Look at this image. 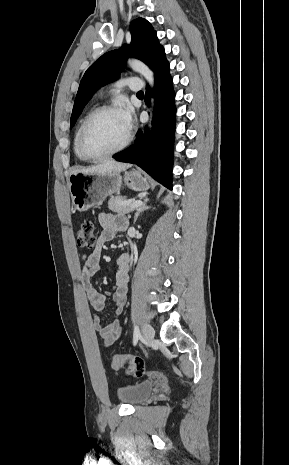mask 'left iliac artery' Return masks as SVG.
<instances>
[{"label":"left iliac artery","instance_id":"1","mask_svg":"<svg viewBox=\"0 0 289 465\" xmlns=\"http://www.w3.org/2000/svg\"><path fill=\"white\" fill-rule=\"evenodd\" d=\"M140 337V331L138 326L134 327V334H133V344L136 345L138 342V339Z\"/></svg>","mask_w":289,"mask_h":465}]
</instances>
